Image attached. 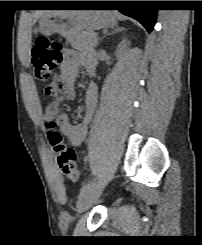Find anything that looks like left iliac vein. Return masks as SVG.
<instances>
[{
  "label": "left iliac vein",
  "mask_w": 202,
  "mask_h": 245,
  "mask_svg": "<svg viewBox=\"0 0 202 245\" xmlns=\"http://www.w3.org/2000/svg\"><path fill=\"white\" fill-rule=\"evenodd\" d=\"M100 196L98 189L92 188L88 192L80 194L77 201V210L84 212L88 210Z\"/></svg>",
  "instance_id": "1"
}]
</instances>
